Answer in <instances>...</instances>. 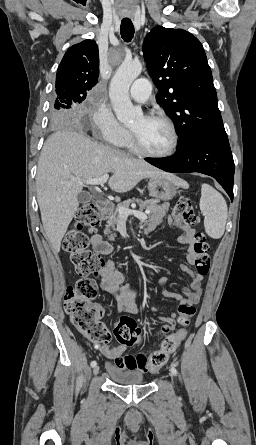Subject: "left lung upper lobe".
<instances>
[{"label": "left lung upper lobe", "mask_w": 256, "mask_h": 445, "mask_svg": "<svg viewBox=\"0 0 256 445\" xmlns=\"http://www.w3.org/2000/svg\"><path fill=\"white\" fill-rule=\"evenodd\" d=\"M143 54L159 91L156 101L175 123L179 144L197 132L225 130L211 69L196 37L158 26L146 35Z\"/></svg>", "instance_id": "1"}]
</instances>
